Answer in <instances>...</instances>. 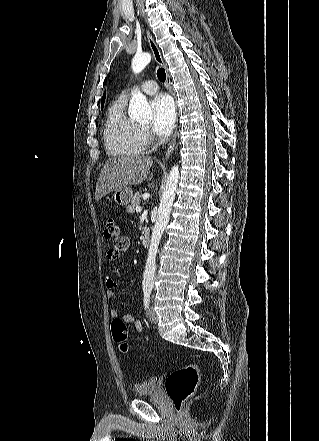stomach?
I'll use <instances>...</instances> for the list:
<instances>
[{"instance_id":"0dacf381","label":"stomach","mask_w":319,"mask_h":441,"mask_svg":"<svg viewBox=\"0 0 319 441\" xmlns=\"http://www.w3.org/2000/svg\"><path fill=\"white\" fill-rule=\"evenodd\" d=\"M114 201L120 206L128 205L133 198V191L131 188L124 187L116 190L113 194Z\"/></svg>"}]
</instances>
